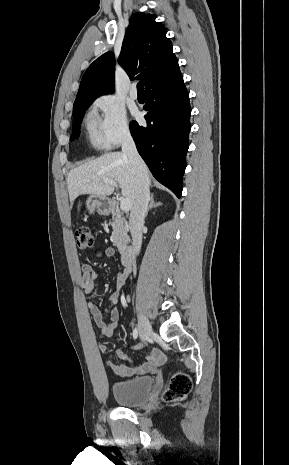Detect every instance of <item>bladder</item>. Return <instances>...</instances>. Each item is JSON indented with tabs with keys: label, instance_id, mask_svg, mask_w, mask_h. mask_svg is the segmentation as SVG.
Segmentation results:
<instances>
[{
	"label": "bladder",
	"instance_id": "31cf9c89",
	"mask_svg": "<svg viewBox=\"0 0 289 465\" xmlns=\"http://www.w3.org/2000/svg\"><path fill=\"white\" fill-rule=\"evenodd\" d=\"M153 388V378L143 376L112 385V394L115 401L125 407H136L147 402Z\"/></svg>",
	"mask_w": 289,
	"mask_h": 465
}]
</instances>
